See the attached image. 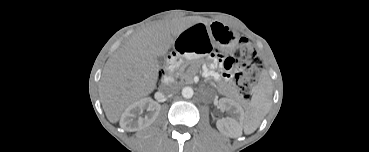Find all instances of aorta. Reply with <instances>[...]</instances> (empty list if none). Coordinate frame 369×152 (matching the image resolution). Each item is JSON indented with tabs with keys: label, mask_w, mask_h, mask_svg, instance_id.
Masks as SVG:
<instances>
[{
	"label": "aorta",
	"mask_w": 369,
	"mask_h": 152,
	"mask_svg": "<svg viewBox=\"0 0 369 152\" xmlns=\"http://www.w3.org/2000/svg\"><path fill=\"white\" fill-rule=\"evenodd\" d=\"M181 93L184 98H191L194 95L192 87L189 86L184 87Z\"/></svg>",
	"instance_id": "1"
}]
</instances>
